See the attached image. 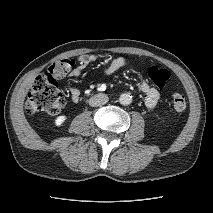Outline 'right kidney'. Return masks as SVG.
Masks as SVG:
<instances>
[{"label":"right kidney","instance_id":"obj_1","mask_svg":"<svg viewBox=\"0 0 213 213\" xmlns=\"http://www.w3.org/2000/svg\"><path fill=\"white\" fill-rule=\"evenodd\" d=\"M66 116L65 115H61V116H58L56 119H55V125L56 126H61L65 120H66Z\"/></svg>","mask_w":213,"mask_h":213}]
</instances>
